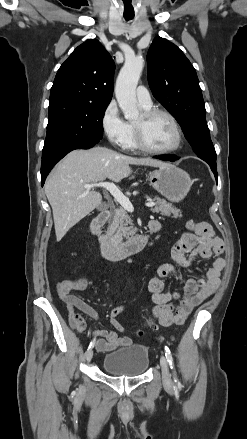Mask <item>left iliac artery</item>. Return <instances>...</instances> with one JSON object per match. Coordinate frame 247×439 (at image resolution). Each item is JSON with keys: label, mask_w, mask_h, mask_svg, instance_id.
Returning a JSON list of instances; mask_svg holds the SVG:
<instances>
[{"label": "left iliac artery", "mask_w": 247, "mask_h": 439, "mask_svg": "<svg viewBox=\"0 0 247 439\" xmlns=\"http://www.w3.org/2000/svg\"><path fill=\"white\" fill-rule=\"evenodd\" d=\"M165 356H166V358H167V361H168V363H169L171 369H172L173 372H174V375H175V377H174V382L177 383V384H179V381H178V379H177V377H176V372H175V367H174L173 357H172V354H171V352H170V350H169V348H168L167 346H165Z\"/></svg>", "instance_id": "1"}]
</instances>
